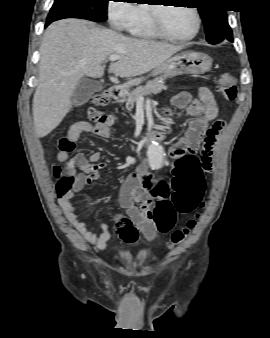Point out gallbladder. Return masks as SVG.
Listing matches in <instances>:
<instances>
[{
  "label": "gallbladder",
  "mask_w": 270,
  "mask_h": 338,
  "mask_svg": "<svg viewBox=\"0 0 270 338\" xmlns=\"http://www.w3.org/2000/svg\"><path fill=\"white\" fill-rule=\"evenodd\" d=\"M103 89V85L94 80L81 79L73 90L71 100L74 105L85 104L90 97Z\"/></svg>",
  "instance_id": "obj_1"
}]
</instances>
